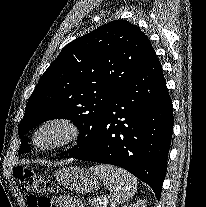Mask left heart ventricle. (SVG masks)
Returning <instances> with one entry per match:
<instances>
[{
	"mask_svg": "<svg viewBox=\"0 0 206 207\" xmlns=\"http://www.w3.org/2000/svg\"><path fill=\"white\" fill-rule=\"evenodd\" d=\"M64 131L58 127H49L38 136V142L42 145L52 144L63 136Z\"/></svg>",
	"mask_w": 206,
	"mask_h": 207,
	"instance_id": "left-heart-ventricle-1",
	"label": "left heart ventricle"
}]
</instances>
